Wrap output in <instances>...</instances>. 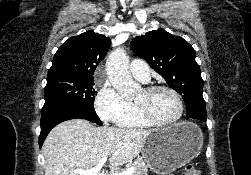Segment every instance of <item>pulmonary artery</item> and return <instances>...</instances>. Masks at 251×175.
Segmentation results:
<instances>
[{"instance_id": "e3ab8cb5", "label": "pulmonary artery", "mask_w": 251, "mask_h": 175, "mask_svg": "<svg viewBox=\"0 0 251 175\" xmlns=\"http://www.w3.org/2000/svg\"><path fill=\"white\" fill-rule=\"evenodd\" d=\"M130 71L132 76L142 82L150 80V69L148 62H131Z\"/></svg>"}]
</instances>
